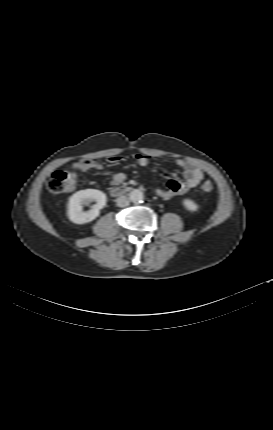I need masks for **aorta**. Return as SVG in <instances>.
I'll return each instance as SVG.
<instances>
[{"label": "aorta", "mask_w": 273, "mask_h": 430, "mask_svg": "<svg viewBox=\"0 0 273 430\" xmlns=\"http://www.w3.org/2000/svg\"><path fill=\"white\" fill-rule=\"evenodd\" d=\"M129 198L133 203H141L144 200V194L140 189H133L129 193Z\"/></svg>", "instance_id": "1"}]
</instances>
